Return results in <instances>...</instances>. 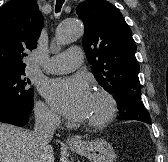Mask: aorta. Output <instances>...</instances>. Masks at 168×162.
<instances>
[{"mask_svg":"<svg viewBox=\"0 0 168 162\" xmlns=\"http://www.w3.org/2000/svg\"><path fill=\"white\" fill-rule=\"evenodd\" d=\"M83 34L82 23L78 19H69L62 22L55 35V41L59 45L70 44L79 39Z\"/></svg>","mask_w":168,"mask_h":162,"instance_id":"aorta-1","label":"aorta"}]
</instances>
